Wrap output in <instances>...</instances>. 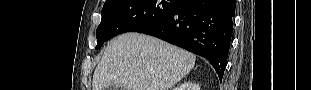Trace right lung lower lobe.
Instances as JSON below:
<instances>
[{
  "mask_svg": "<svg viewBox=\"0 0 311 90\" xmlns=\"http://www.w3.org/2000/svg\"><path fill=\"white\" fill-rule=\"evenodd\" d=\"M234 14L235 0H180L167 15L137 32L208 59L222 80Z\"/></svg>",
  "mask_w": 311,
  "mask_h": 90,
  "instance_id": "98d812e1",
  "label": "right lung lower lobe"
}]
</instances>
